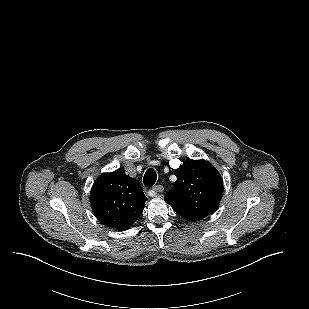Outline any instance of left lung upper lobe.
Here are the masks:
<instances>
[{
    "instance_id": "5c2ea615",
    "label": "left lung upper lobe",
    "mask_w": 309,
    "mask_h": 309,
    "mask_svg": "<svg viewBox=\"0 0 309 309\" xmlns=\"http://www.w3.org/2000/svg\"><path fill=\"white\" fill-rule=\"evenodd\" d=\"M177 177L165 202L181 217L199 221L214 213L223 195V180L205 160H189L175 170Z\"/></svg>"
}]
</instances>
